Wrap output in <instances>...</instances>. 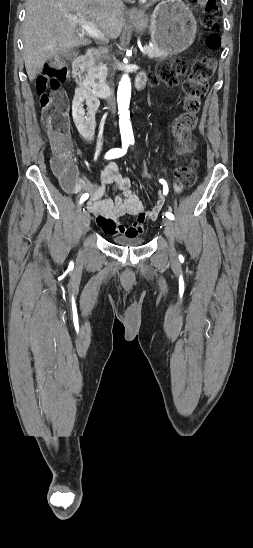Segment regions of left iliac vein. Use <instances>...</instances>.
<instances>
[{"label":"left iliac vein","mask_w":253,"mask_h":548,"mask_svg":"<svg viewBox=\"0 0 253 548\" xmlns=\"http://www.w3.org/2000/svg\"><path fill=\"white\" fill-rule=\"evenodd\" d=\"M165 234L169 241V253L170 256L173 258L176 256V250L174 247V224L170 219H164L163 220Z\"/></svg>","instance_id":"4c4485c4"}]
</instances>
